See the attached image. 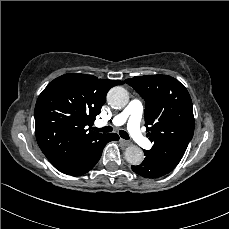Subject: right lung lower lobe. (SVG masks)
<instances>
[{"label": "right lung lower lobe", "instance_id": "obj_1", "mask_svg": "<svg viewBox=\"0 0 229 229\" xmlns=\"http://www.w3.org/2000/svg\"><path fill=\"white\" fill-rule=\"evenodd\" d=\"M117 140H119V136L115 133L102 134L99 139L92 142L78 158L60 171L64 174L76 176L87 173L100 159L104 146L110 141Z\"/></svg>", "mask_w": 229, "mask_h": 229}]
</instances>
